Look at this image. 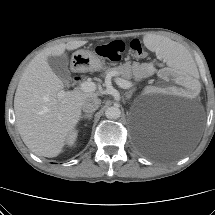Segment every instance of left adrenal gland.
Returning <instances> with one entry per match:
<instances>
[{"label": "left adrenal gland", "mask_w": 215, "mask_h": 215, "mask_svg": "<svg viewBox=\"0 0 215 215\" xmlns=\"http://www.w3.org/2000/svg\"><path fill=\"white\" fill-rule=\"evenodd\" d=\"M134 90H130L127 94H126V99H130L133 95Z\"/></svg>", "instance_id": "1"}]
</instances>
